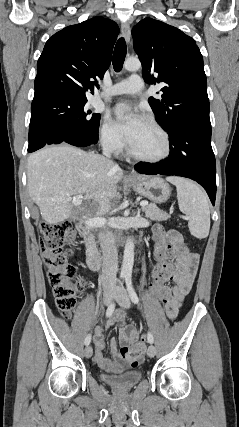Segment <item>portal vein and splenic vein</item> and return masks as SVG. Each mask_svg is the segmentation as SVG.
I'll use <instances>...</instances> for the list:
<instances>
[{
	"mask_svg": "<svg viewBox=\"0 0 239 427\" xmlns=\"http://www.w3.org/2000/svg\"><path fill=\"white\" fill-rule=\"evenodd\" d=\"M83 197L79 196V197H73L72 202L74 204H80L81 200ZM148 205L147 201H141L140 202V206L141 207H145ZM107 220L105 218L102 217H96V218H90L87 221H85V224L91 227H102L106 224Z\"/></svg>",
	"mask_w": 239,
	"mask_h": 427,
	"instance_id": "18ae733b",
	"label": "portal vein and splenic vein"
}]
</instances>
